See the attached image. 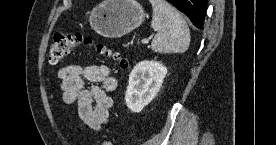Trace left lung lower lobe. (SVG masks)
<instances>
[{
	"mask_svg": "<svg viewBox=\"0 0 276 145\" xmlns=\"http://www.w3.org/2000/svg\"><path fill=\"white\" fill-rule=\"evenodd\" d=\"M180 11L185 13L192 23L199 29H203L207 11V0H167Z\"/></svg>",
	"mask_w": 276,
	"mask_h": 145,
	"instance_id": "1",
	"label": "left lung lower lobe"
}]
</instances>
